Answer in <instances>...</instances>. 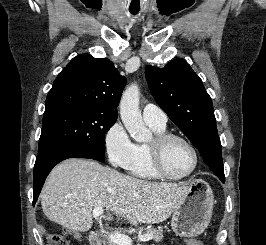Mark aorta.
I'll use <instances>...</instances> for the list:
<instances>
[{
	"label": "aorta",
	"instance_id": "762f6f07",
	"mask_svg": "<svg viewBox=\"0 0 266 245\" xmlns=\"http://www.w3.org/2000/svg\"><path fill=\"white\" fill-rule=\"evenodd\" d=\"M140 88L138 84H129L125 88L120 100V114L122 123L129 135L135 141H149L150 131L146 129L142 114L139 110Z\"/></svg>",
	"mask_w": 266,
	"mask_h": 245
}]
</instances>
